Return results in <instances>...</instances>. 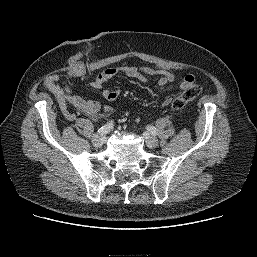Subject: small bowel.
I'll return each mask as SVG.
<instances>
[{
  "mask_svg": "<svg viewBox=\"0 0 257 257\" xmlns=\"http://www.w3.org/2000/svg\"><path fill=\"white\" fill-rule=\"evenodd\" d=\"M125 74L127 77L139 80L141 82H147L148 76L159 75L160 79L158 85L161 88H167L169 84L176 82L175 75L168 70H156L151 67H136V66H121V67H111L107 68L101 73H99L95 79L92 81L91 86L95 89H100L103 85L108 82L111 78L119 75ZM83 74L82 70H72L68 74L69 79H74L80 77ZM59 77L57 75L49 76L46 80V86L50 92L55 96L63 115L69 119H75V114L68 109V104L72 105L78 111L84 113L91 119H96L98 113L102 110L103 118H108L111 114L110 107H101V104L95 100H87L81 96L75 94L68 84L60 86L57 84ZM194 82V77L192 75H187L180 82L177 87L181 90L189 83ZM120 91L118 89H105L102 92V96L105 100L112 102L118 98ZM171 102L170 98L164 100V105H169Z\"/></svg>",
  "mask_w": 257,
  "mask_h": 257,
  "instance_id": "obj_1",
  "label": "small bowel"
}]
</instances>
